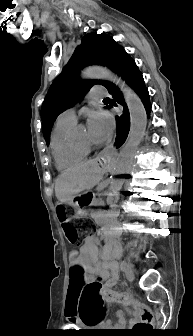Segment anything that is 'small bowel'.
<instances>
[{
    "label": "small bowel",
    "instance_id": "obj_1",
    "mask_svg": "<svg viewBox=\"0 0 193 336\" xmlns=\"http://www.w3.org/2000/svg\"><path fill=\"white\" fill-rule=\"evenodd\" d=\"M120 254V248L117 245L109 243L100 253L96 236H87L82 245L77 250L71 251L69 260L71 265H79L89 276H96L105 283V297L111 301L126 303L130 300L127 293L111 291V288L119 280L117 258ZM79 295V286L76 279L72 277L68 289V307L65 315L70 320L77 318V303ZM119 322L124 321L125 317L122 311H117Z\"/></svg>",
    "mask_w": 193,
    "mask_h": 336
}]
</instances>
